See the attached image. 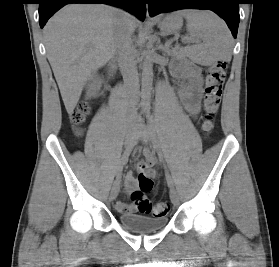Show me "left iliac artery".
Segmentation results:
<instances>
[{
  "instance_id": "left-iliac-artery-1",
  "label": "left iliac artery",
  "mask_w": 279,
  "mask_h": 267,
  "mask_svg": "<svg viewBox=\"0 0 279 267\" xmlns=\"http://www.w3.org/2000/svg\"><path fill=\"white\" fill-rule=\"evenodd\" d=\"M148 127H149V131H150V134H151V137H152V143L158 149V155L162 159L163 154H162V151L160 149L161 147H160V144H159L158 139H157V135H156L155 128H154V125H153L152 117L150 115H148ZM165 175H166L168 186L170 187V189H174L173 180H172L166 166H165Z\"/></svg>"
}]
</instances>
